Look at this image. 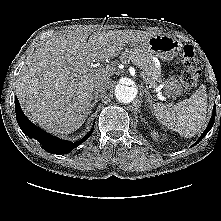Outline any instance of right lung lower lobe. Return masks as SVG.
<instances>
[{
  "label": "right lung lower lobe",
  "mask_w": 221,
  "mask_h": 221,
  "mask_svg": "<svg viewBox=\"0 0 221 221\" xmlns=\"http://www.w3.org/2000/svg\"><path fill=\"white\" fill-rule=\"evenodd\" d=\"M15 111L18 125L22 131L30 138L36 139L42 147L52 154H67L75 147L87 140L92 131L77 142H69L52 136L33 124L23 113L18 99L15 101Z\"/></svg>",
  "instance_id": "right-lung-lower-lobe-1"
}]
</instances>
